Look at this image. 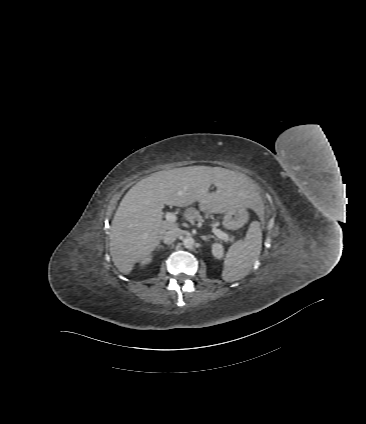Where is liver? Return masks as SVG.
<instances>
[{
  "label": "liver",
  "instance_id": "6515ba94",
  "mask_svg": "<svg viewBox=\"0 0 366 424\" xmlns=\"http://www.w3.org/2000/svg\"><path fill=\"white\" fill-rule=\"evenodd\" d=\"M217 190L210 192L211 185ZM195 202L206 214L248 207L263 214V202L255 185L243 174L221 167L189 166L160 171L135 184L123 197L110 232V255L123 274L146 258L160 244L165 233L178 223L163 220V206L187 207ZM188 208L185 216L196 217Z\"/></svg>",
  "mask_w": 366,
  "mask_h": 424
}]
</instances>
